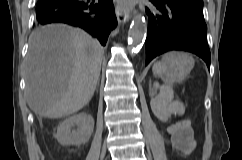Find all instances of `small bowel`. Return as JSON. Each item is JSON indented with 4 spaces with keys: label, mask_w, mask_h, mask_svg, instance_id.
I'll use <instances>...</instances> for the list:
<instances>
[{
    "label": "small bowel",
    "mask_w": 242,
    "mask_h": 160,
    "mask_svg": "<svg viewBox=\"0 0 242 160\" xmlns=\"http://www.w3.org/2000/svg\"><path fill=\"white\" fill-rule=\"evenodd\" d=\"M175 145L184 154L192 152L196 146L193 130L189 120L183 119L172 128Z\"/></svg>",
    "instance_id": "c3829d8e"
}]
</instances>
